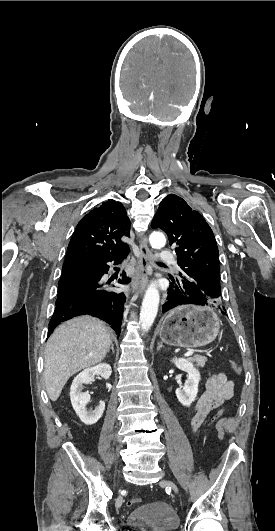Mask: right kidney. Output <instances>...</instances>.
Segmentation results:
<instances>
[{
	"label": "right kidney",
	"mask_w": 275,
	"mask_h": 531,
	"mask_svg": "<svg viewBox=\"0 0 275 531\" xmlns=\"http://www.w3.org/2000/svg\"><path fill=\"white\" fill-rule=\"evenodd\" d=\"M111 367L107 363H100L96 367H89V369H84L81 371L77 377H75L71 387H70V401L72 407L81 419L82 423L85 425H95L103 415L105 409V403H100L96 407L95 411H87L86 405L90 401V395L88 393H82L84 383H90L94 381L95 375H100L103 379H109L111 377Z\"/></svg>",
	"instance_id": "1"
}]
</instances>
